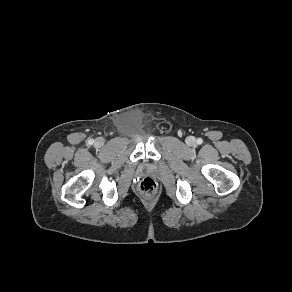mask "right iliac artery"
Returning <instances> with one entry per match:
<instances>
[{"label":"right iliac artery","instance_id":"82829eb1","mask_svg":"<svg viewBox=\"0 0 292 292\" xmlns=\"http://www.w3.org/2000/svg\"><path fill=\"white\" fill-rule=\"evenodd\" d=\"M93 140L92 139H90L89 141H88V143L91 145V144H93Z\"/></svg>","mask_w":292,"mask_h":292}]
</instances>
